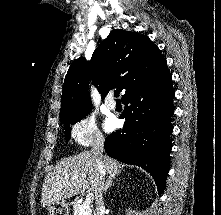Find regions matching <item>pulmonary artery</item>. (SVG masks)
<instances>
[{
	"instance_id": "e3ab8cb5",
	"label": "pulmonary artery",
	"mask_w": 221,
	"mask_h": 215,
	"mask_svg": "<svg viewBox=\"0 0 221 215\" xmlns=\"http://www.w3.org/2000/svg\"><path fill=\"white\" fill-rule=\"evenodd\" d=\"M105 105L110 110H113L116 107V103H115V101L111 97H108L106 99Z\"/></svg>"
}]
</instances>
